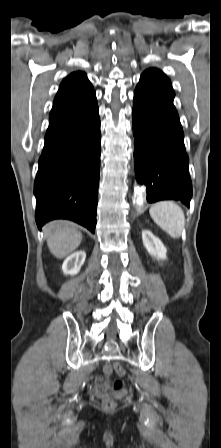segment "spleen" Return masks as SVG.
<instances>
[{"label": "spleen", "instance_id": "obj_1", "mask_svg": "<svg viewBox=\"0 0 221 448\" xmlns=\"http://www.w3.org/2000/svg\"><path fill=\"white\" fill-rule=\"evenodd\" d=\"M153 221L170 237H181L185 226V215L181 207L172 201H160L149 210Z\"/></svg>", "mask_w": 221, "mask_h": 448}]
</instances>
